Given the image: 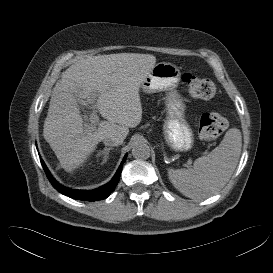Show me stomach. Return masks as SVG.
I'll use <instances>...</instances> for the list:
<instances>
[{"label":"stomach","instance_id":"obj_1","mask_svg":"<svg viewBox=\"0 0 273 273\" xmlns=\"http://www.w3.org/2000/svg\"><path fill=\"white\" fill-rule=\"evenodd\" d=\"M181 72L172 63H157L141 83L145 93L167 92L166 121L163 126L164 138L167 144L177 151H188L194 143L193 131L185 119V104L177 92Z\"/></svg>","mask_w":273,"mask_h":273}]
</instances>
